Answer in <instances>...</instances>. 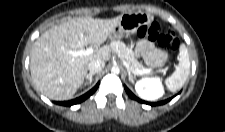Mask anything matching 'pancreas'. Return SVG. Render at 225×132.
Wrapping results in <instances>:
<instances>
[{"instance_id": "pancreas-1", "label": "pancreas", "mask_w": 225, "mask_h": 132, "mask_svg": "<svg viewBox=\"0 0 225 132\" xmlns=\"http://www.w3.org/2000/svg\"><path fill=\"white\" fill-rule=\"evenodd\" d=\"M109 49L117 54L118 57L128 66L131 71H139L145 69L143 64L136 59L132 49L126 46L122 41H112L109 45ZM134 74L138 73L135 72Z\"/></svg>"}]
</instances>
